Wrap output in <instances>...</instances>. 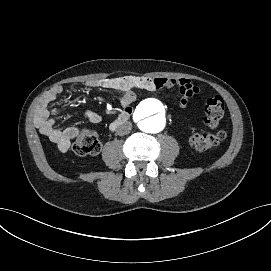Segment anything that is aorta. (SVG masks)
<instances>
[{
    "label": "aorta",
    "instance_id": "1",
    "mask_svg": "<svg viewBox=\"0 0 271 271\" xmlns=\"http://www.w3.org/2000/svg\"><path fill=\"white\" fill-rule=\"evenodd\" d=\"M165 106L156 99H145L135 109L133 118L139 128L146 133L155 134L162 131L166 125Z\"/></svg>",
    "mask_w": 271,
    "mask_h": 271
}]
</instances>
